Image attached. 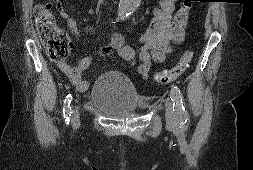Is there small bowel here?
Returning a JSON list of instances; mask_svg holds the SVG:
<instances>
[{
	"mask_svg": "<svg viewBox=\"0 0 253 170\" xmlns=\"http://www.w3.org/2000/svg\"><path fill=\"white\" fill-rule=\"evenodd\" d=\"M176 0H161L158 8L154 10L153 18L142 36L138 48L135 50L119 42H112L100 49L101 54L118 53L123 59L136 66L138 74L147 79L150 74L152 62L165 63L171 53L172 44H180L184 39L186 22H181L177 15L173 16ZM59 15L63 18L71 32L80 36L76 19L61 4H57ZM92 63V56H85L76 65L66 61L57 62V67L70 79L71 83L80 92L89 88V82L83 78L84 72Z\"/></svg>",
	"mask_w": 253,
	"mask_h": 170,
	"instance_id": "1",
	"label": "small bowel"
}]
</instances>
